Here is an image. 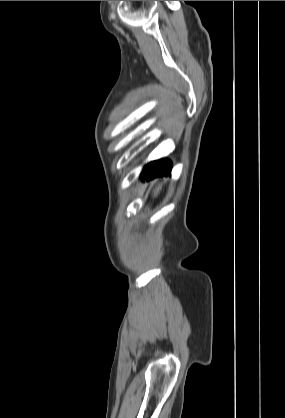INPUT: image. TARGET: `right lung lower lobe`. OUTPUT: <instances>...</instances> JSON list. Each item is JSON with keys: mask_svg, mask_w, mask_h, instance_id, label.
Instances as JSON below:
<instances>
[{"mask_svg": "<svg viewBox=\"0 0 285 418\" xmlns=\"http://www.w3.org/2000/svg\"><path fill=\"white\" fill-rule=\"evenodd\" d=\"M172 163L168 159H161L148 163L141 174L142 180L153 179L155 177L168 175L171 172Z\"/></svg>", "mask_w": 285, "mask_h": 418, "instance_id": "right-lung-lower-lobe-1", "label": "right lung lower lobe"}]
</instances>
